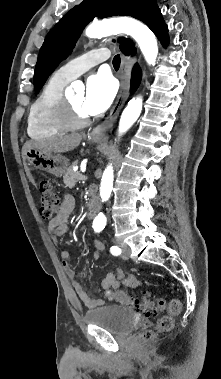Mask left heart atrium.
<instances>
[{
  "label": "left heart atrium",
  "mask_w": 221,
  "mask_h": 379,
  "mask_svg": "<svg viewBox=\"0 0 221 379\" xmlns=\"http://www.w3.org/2000/svg\"><path fill=\"white\" fill-rule=\"evenodd\" d=\"M116 94L114 80L105 73L91 75L86 82L82 108L87 115L104 112L113 102Z\"/></svg>",
  "instance_id": "obj_1"
}]
</instances>
